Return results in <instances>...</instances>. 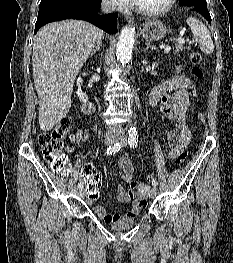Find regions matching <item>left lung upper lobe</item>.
I'll return each instance as SVG.
<instances>
[{
  "label": "left lung upper lobe",
  "mask_w": 233,
  "mask_h": 263,
  "mask_svg": "<svg viewBox=\"0 0 233 263\" xmlns=\"http://www.w3.org/2000/svg\"><path fill=\"white\" fill-rule=\"evenodd\" d=\"M179 2L186 7L207 6L206 0H179Z\"/></svg>",
  "instance_id": "5c2ea615"
}]
</instances>
